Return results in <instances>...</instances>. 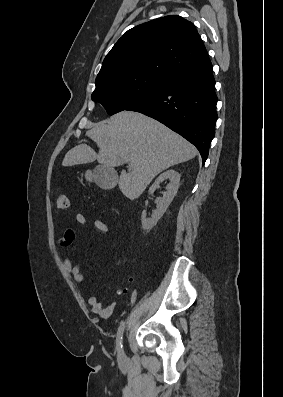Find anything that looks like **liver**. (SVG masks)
<instances>
[{
  "label": "liver",
  "mask_w": 283,
  "mask_h": 397,
  "mask_svg": "<svg viewBox=\"0 0 283 397\" xmlns=\"http://www.w3.org/2000/svg\"><path fill=\"white\" fill-rule=\"evenodd\" d=\"M96 142L99 152L79 144L69 150L63 166L98 161L112 168L129 163L121 171L118 185L129 199L138 198L153 178L163 170L193 159L197 149L160 122L133 111H121L86 132Z\"/></svg>",
  "instance_id": "obj_1"
}]
</instances>
